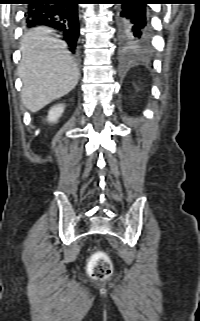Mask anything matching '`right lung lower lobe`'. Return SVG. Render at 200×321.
<instances>
[{"label": "right lung lower lobe", "instance_id": "1", "mask_svg": "<svg viewBox=\"0 0 200 321\" xmlns=\"http://www.w3.org/2000/svg\"><path fill=\"white\" fill-rule=\"evenodd\" d=\"M79 0H27L24 19L28 28L47 26L62 35L74 53L79 36Z\"/></svg>", "mask_w": 200, "mask_h": 321}]
</instances>
